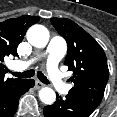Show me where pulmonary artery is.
Returning a JSON list of instances; mask_svg holds the SVG:
<instances>
[{
    "label": "pulmonary artery",
    "instance_id": "pulmonary-artery-1",
    "mask_svg": "<svg viewBox=\"0 0 117 117\" xmlns=\"http://www.w3.org/2000/svg\"><path fill=\"white\" fill-rule=\"evenodd\" d=\"M66 52V43L63 38L55 36L51 39L47 46L46 51L37 57L31 58L26 61H18L14 63L13 68L15 70H23L38 60L41 56L47 57V73L51 84L54 88L62 93L66 94L70 86L67 85L62 78L59 71L58 64Z\"/></svg>",
    "mask_w": 117,
    "mask_h": 117
}]
</instances>
